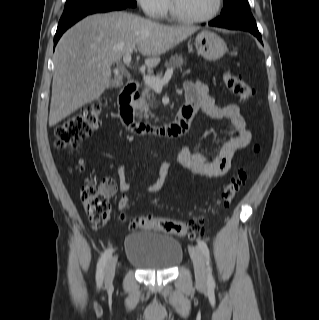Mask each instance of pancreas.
Masks as SVG:
<instances>
[{
    "instance_id": "obj_1",
    "label": "pancreas",
    "mask_w": 319,
    "mask_h": 320,
    "mask_svg": "<svg viewBox=\"0 0 319 320\" xmlns=\"http://www.w3.org/2000/svg\"><path fill=\"white\" fill-rule=\"evenodd\" d=\"M184 64V59L181 55H173L170 57L169 62L166 63L167 68H179L182 69ZM157 78H161V74H156ZM157 102L154 97V90L153 88L145 84L142 90L141 97L136 101V109L139 111V116L144 117L145 119H149L151 114V109L156 107Z\"/></svg>"
}]
</instances>
